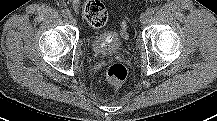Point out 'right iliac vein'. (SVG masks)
Listing matches in <instances>:
<instances>
[{
  "instance_id": "obj_1",
  "label": "right iliac vein",
  "mask_w": 217,
  "mask_h": 121,
  "mask_svg": "<svg viewBox=\"0 0 217 121\" xmlns=\"http://www.w3.org/2000/svg\"><path fill=\"white\" fill-rule=\"evenodd\" d=\"M69 20L73 25H76L77 22H76V19L74 17L70 16Z\"/></svg>"
}]
</instances>
